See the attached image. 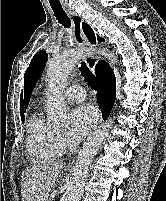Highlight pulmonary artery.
I'll list each match as a JSON object with an SVG mask.
<instances>
[{"label": "pulmonary artery", "mask_w": 166, "mask_h": 201, "mask_svg": "<svg viewBox=\"0 0 166 201\" xmlns=\"http://www.w3.org/2000/svg\"><path fill=\"white\" fill-rule=\"evenodd\" d=\"M85 96L86 92L80 85H72L65 92V97L70 102H81Z\"/></svg>", "instance_id": "obj_1"}]
</instances>
